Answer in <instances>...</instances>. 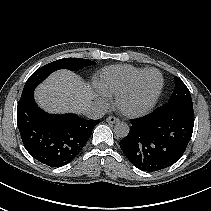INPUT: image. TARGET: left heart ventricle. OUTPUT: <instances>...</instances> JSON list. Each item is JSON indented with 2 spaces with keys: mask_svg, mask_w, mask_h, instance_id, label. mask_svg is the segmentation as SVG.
Segmentation results:
<instances>
[{
  "mask_svg": "<svg viewBox=\"0 0 211 211\" xmlns=\"http://www.w3.org/2000/svg\"><path fill=\"white\" fill-rule=\"evenodd\" d=\"M161 78L156 72L148 73L140 82L135 93L126 101L129 108H141L147 105L157 93Z\"/></svg>",
  "mask_w": 211,
  "mask_h": 211,
  "instance_id": "1",
  "label": "left heart ventricle"
}]
</instances>
